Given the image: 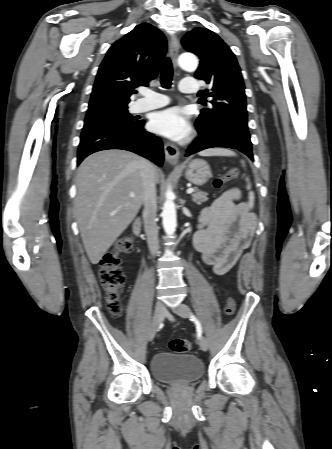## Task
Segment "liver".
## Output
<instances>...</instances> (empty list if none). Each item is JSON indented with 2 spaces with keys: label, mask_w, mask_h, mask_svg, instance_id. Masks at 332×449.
I'll return each mask as SVG.
<instances>
[{
  "label": "liver",
  "mask_w": 332,
  "mask_h": 449,
  "mask_svg": "<svg viewBox=\"0 0 332 449\" xmlns=\"http://www.w3.org/2000/svg\"><path fill=\"white\" fill-rule=\"evenodd\" d=\"M141 160L128 151L105 150L88 156L78 168L75 215L92 264L99 263L143 203ZM154 170L158 183L159 171Z\"/></svg>",
  "instance_id": "liver-1"
}]
</instances>
